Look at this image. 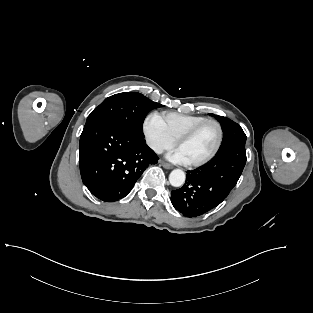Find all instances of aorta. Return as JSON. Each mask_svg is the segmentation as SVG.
I'll list each match as a JSON object with an SVG mask.
<instances>
[{
  "instance_id": "1",
  "label": "aorta",
  "mask_w": 313,
  "mask_h": 313,
  "mask_svg": "<svg viewBox=\"0 0 313 313\" xmlns=\"http://www.w3.org/2000/svg\"><path fill=\"white\" fill-rule=\"evenodd\" d=\"M185 173L180 169L173 170L169 175V182L174 187H180L185 182Z\"/></svg>"
}]
</instances>
